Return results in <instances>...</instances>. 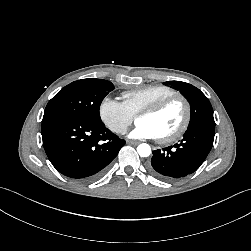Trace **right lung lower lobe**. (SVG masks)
Instances as JSON below:
<instances>
[{
	"label": "right lung lower lobe",
	"mask_w": 251,
	"mask_h": 251,
	"mask_svg": "<svg viewBox=\"0 0 251 251\" xmlns=\"http://www.w3.org/2000/svg\"><path fill=\"white\" fill-rule=\"evenodd\" d=\"M42 140L53 166L81 182L102 175L125 141L101 121L54 115L43 118Z\"/></svg>",
	"instance_id": "1"
}]
</instances>
